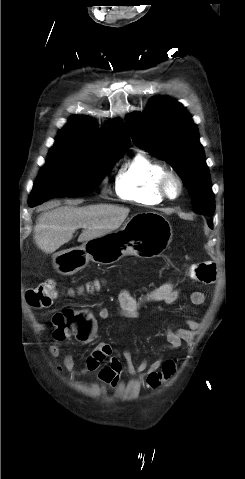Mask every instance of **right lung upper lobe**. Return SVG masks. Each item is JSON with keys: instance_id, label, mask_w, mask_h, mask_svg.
<instances>
[{"instance_id": "1", "label": "right lung upper lobe", "mask_w": 245, "mask_h": 479, "mask_svg": "<svg viewBox=\"0 0 245 479\" xmlns=\"http://www.w3.org/2000/svg\"><path fill=\"white\" fill-rule=\"evenodd\" d=\"M58 136L56 140L75 142L99 150L126 151L130 144L129 136L119 119L114 120L109 129L99 130L87 117H72Z\"/></svg>"}]
</instances>
